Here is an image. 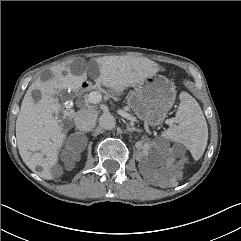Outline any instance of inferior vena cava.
<instances>
[{
	"label": "inferior vena cava",
	"instance_id": "602c4592",
	"mask_svg": "<svg viewBox=\"0 0 241 241\" xmlns=\"http://www.w3.org/2000/svg\"><path fill=\"white\" fill-rule=\"evenodd\" d=\"M97 113L94 109H82L74 116V123L78 130L91 131L96 125Z\"/></svg>",
	"mask_w": 241,
	"mask_h": 241
}]
</instances>
